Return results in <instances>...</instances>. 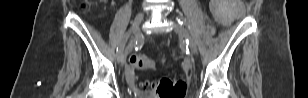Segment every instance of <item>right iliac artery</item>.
Instances as JSON below:
<instances>
[{
	"mask_svg": "<svg viewBox=\"0 0 308 98\" xmlns=\"http://www.w3.org/2000/svg\"><path fill=\"white\" fill-rule=\"evenodd\" d=\"M129 35H130V32H127V33L122 37V39H121V41H120V43H119V45H118V47H117V54H121V53L123 52L124 47H125V44H126V42H127V39H128V37H129Z\"/></svg>",
	"mask_w": 308,
	"mask_h": 98,
	"instance_id": "82829eb1",
	"label": "right iliac artery"
}]
</instances>
